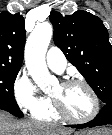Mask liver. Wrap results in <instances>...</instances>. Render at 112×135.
<instances>
[{
    "label": "liver",
    "instance_id": "6515ba94",
    "mask_svg": "<svg viewBox=\"0 0 112 135\" xmlns=\"http://www.w3.org/2000/svg\"><path fill=\"white\" fill-rule=\"evenodd\" d=\"M71 132L42 122L18 121L9 113L0 110V135H69Z\"/></svg>",
    "mask_w": 112,
    "mask_h": 135
}]
</instances>
